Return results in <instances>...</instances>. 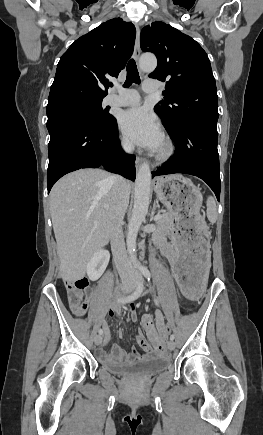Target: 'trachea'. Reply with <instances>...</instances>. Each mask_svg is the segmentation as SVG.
<instances>
[{"mask_svg": "<svg viewBox=\"0 0 263 435\" xmlns=\"http://www.w3.org/2000/svg\"><path fill=\"white\" fill-rule=\"evenodd\" d=\"M127 77L126 81L124 83V87L128 88L132 85V83L139 84L140 83V77L137 70L136 63L133 59H131L127 64Z\"/></svg>", "mask_w": 263, "mask_h": 435, "instance_id": "trachea-1", "label": "trachea"}]
</instances>
